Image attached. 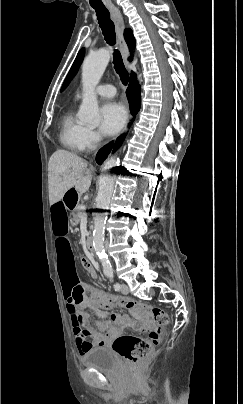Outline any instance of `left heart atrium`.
<instances>
[{
  "mask_svg": "<svg viewBox=\"0 0 243 404\" xmlns=\"http://www.w3.org/2000/svg\"><path fill=\"white\" fill-rule=\"evenodd\" d=\"M126 111L116 101L106 102L100 110L99 131L106 136L116 134L124 125Z\"/></svg>",
  "mask_w": 243,
  "mask_h": 404,
  "instance_id": "1",
  "label": "left heart atrium"
}]
</instances>
